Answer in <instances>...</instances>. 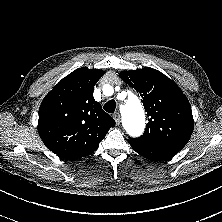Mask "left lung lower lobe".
<instances>
[{
  "mask_svg": "<svg viewBox=\"0 0 222 222\" xmlns=\"http://www.w3.org/2000/svg\"><path fill=\"white\" fill-rule=\"evenodd\" d=\"M128 142L138 154L150 160H162L168 158L179 152L184 147L172 144H148L134 139H128Z\"/></svg>",
  "mask_w": 222,
  "mask_h": 222,
  "instance_id": "0a47b994",
  "label": "left lung lower lobe"
}]
</instances>
